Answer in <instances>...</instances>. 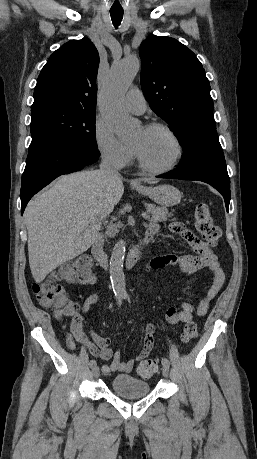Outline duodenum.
Returning <instances> with one entry per match:
<instances>
[{
	"instance_id": "obj_1",
	"label": "duodenum",
	"mask_w": 257,
	"mask_h": 459,
	"mask_svg": "<svg viewBox=\"0 0 257 459\" xmlns=\"http://www.w3.org/2000/svg\"><path fill=\"white\" fill-rule=\"evenodd\" d=\"M156 232L148 230L145 239L139 246L132 249L127 255V266L132 267L140 261L143 256L145 246L154 238ZM92 253L100 265L104 266L107 263L108 257L104 253V236L98 234L92 243Z\"/></svg>"
}]
</instances>
